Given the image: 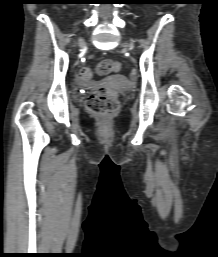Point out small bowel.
I'll list each match as a JSON object with an SVG mask.
<instances>
[{"label":"small bowel","mask_w":218,"mask_h":257,"mask_svg":"<svg viewBox=\"0 0 218 257\" xmlns=\"http://www.w3.org/2000/svg\"><path fill=\"white\" fill-rule=\"evenodd\" d=\"M74 78H77V73H74ZM76 84H78L77 79H76Z\"/></svg>","instance_id":"obj_1"}]
</instances>
